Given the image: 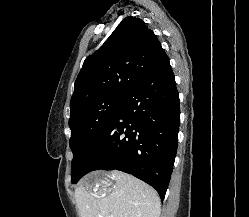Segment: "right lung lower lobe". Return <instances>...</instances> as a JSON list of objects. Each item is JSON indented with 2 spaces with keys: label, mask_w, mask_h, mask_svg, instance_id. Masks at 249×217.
Listing matches in <instances>:
<instances>
[{
  "label": "right lung lower lobe",
  "mask_w": 249,
  "mask_h": 217,
  "mask_svg": "<svg viewBox=\"0 0 249 217\" xmlns=\"http://www.w3.org/2000/svg\"><path fill=\"white\" fill-rule=\"evenodd\" d=\"M179 96L165 54L125 96L79 171L120 170L154 187L161 200L177 151Z\"/></svg>",
  "instance_id": "98d812e1"
}]
</instances>
